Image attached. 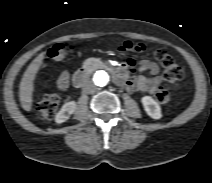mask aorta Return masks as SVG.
<instances>
[{"mask_svg":"<svg viewBox=\"0 0 212 183\" xmlns=\"http://www.w3.org/2000/svg\"><path fill=\"white\" fill-rule=\"evenodd\" d=\"M110 81V74L105 70L94 71L90 76V82H92L96 87L103 88Z\"/></svg>","mask_w":212,"mask_h":183,"instance_id":"obj_1","label":"aorta"}]
</instances>
